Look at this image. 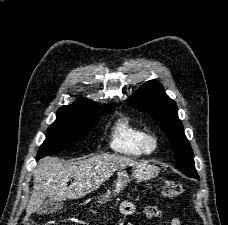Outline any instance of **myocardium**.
<instances>
[{
  "label": "myocardium",
  "instance_id": "1",
  "mask_svg": "<svg viewBox=\"0 0 228 225\" xmlns=\"http://www.w3.org/2000/svg\"><path fill=\"white\" fill-rule=\"evenodd\" d=\"M159 145V139L155 134H149L147 138V146L151 152L155 151Z\"/></svg>",
  "mask_w": 228,
  "mask_h": 225
}]
</instances>
